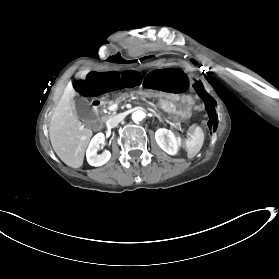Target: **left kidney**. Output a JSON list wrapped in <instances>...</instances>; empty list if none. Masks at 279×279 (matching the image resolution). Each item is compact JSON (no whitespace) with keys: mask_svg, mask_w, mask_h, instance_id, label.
Returning a JSON list of instances; mask_svg holds the SVG:
<instances>
[{"mask_svg":"<svg viewBox=\"0 0 279 279\" xmlns=\"http://www.w3.org/2000/svg\"><path fill=\"white\" fill-rule=\"evenodd\" d=\"M155 140L159 147L169 155L177 154V147L180 139L175 137L172 132L166 128H160L155 133Z\"/></svg>","mask_w":279,"mask_h":279,"instance_id":"5707ae66","label":"left kidney"}]
</instances>
